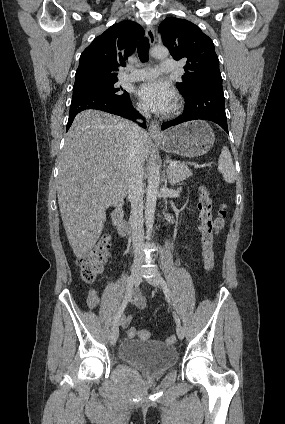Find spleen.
I'll use <instances>...</instances> for the list:
<instances>
[{"instance_id":"3e777b00","label":"spleen","mask_w":285,"mask_h":424,"mask_svg":"<svg viewBox=\"0 0 285 424\" xmlns=\"http://www.w3.org/2000/svg\"><path fill=\"white\" fill-rule=\"evenodd\" d=\"M218 170L227 183H234L236 180V171L233 165L231 153L224 146L218 159Z\"/></svg>"}]
</instances>
